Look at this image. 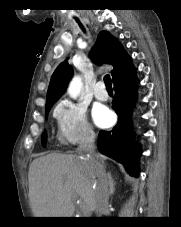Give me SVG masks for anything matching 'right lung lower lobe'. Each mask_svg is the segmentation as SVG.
Wrapping results in <instances>:
<instances>
[{
    "label": "right lung lower lobe",
    "instance_id": "1",
    "mask_svg": "<svg viewBox=\"0 0 181 227\" xmlns=\"http://www.w3.org/2000/svg\"><path fill=\"white\" fill-rule=\"evenodd\" d=\"M115 96L112 108L118 115V123L111 131H101L98 135V149L120 163L133 176L138 175L134 165L140 146L134 144L132 134V110L135 102L138 79L131 58L127 55L121 68L112 78Z\"/></svg>",
    "mask_w": 181,
    "mask_h": 227
}]
</instances>
